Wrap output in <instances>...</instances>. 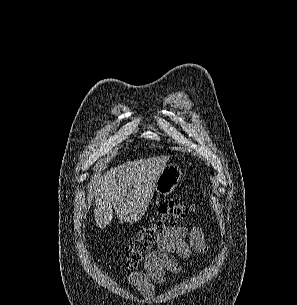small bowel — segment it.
Segmentation results:
<instances>
[{
	"mask_svg": "<svg viewBox=\"0 0 297 305\" xmlns=\"http://www.w3.org/2000/svg\"><path fill=\"white\" fill-rule=\"evenodd\" d=\"M157 249L144 261V272L126 274L128 283L144 297L155 293V285L163 283L167 275L181 270L179 259H185L195 251L206 253L208 245L201 228L173 226L158 235Z\"/></svg>",
	"mask_w": 297,
	"mask_h": 305,
	"instance_id": "obj_1",
	"label": "small bowel"
}]
</instances>
